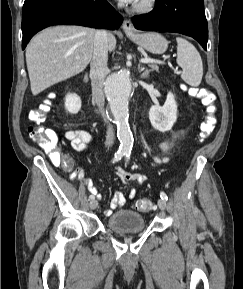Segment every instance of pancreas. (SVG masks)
<instances>
[{
	"mask_svg": "<svg viewBox=\"0 0 243 289\" xmlns=\"http://www.w3.org/2000/svg\"><path fill=\"white\" fill-rule=\"evenodd\" d=\"M149 66L152 68V70H155V71H158V69H159L158 66L156 64H153V63L150 64Z\"/></svg>",
	"mask_w": 243,
	"mask_h": 289,
	"instance_id": "obj_1",
	"label": "pancreas"
}]
</instances>
